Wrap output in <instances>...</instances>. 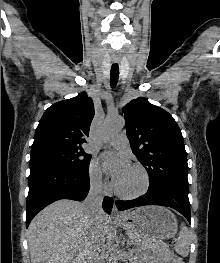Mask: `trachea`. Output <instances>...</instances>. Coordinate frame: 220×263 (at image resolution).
Wrapping results in <instances>:
<instances>
[{"label":"trachea","mask_w":220,"mask_h":263,"mask_svg":"<svg viewBox=\"0 0 220 263\" xmlns=\"http://www.w3.org/2000/svg\"><path fill=\"white\" fill-rule=\"evenodd\" d=\"M119 79V66L112 65L110 71V85L112 88H115Z\"/></svg>","instance_id":"1"}]
</instances>
